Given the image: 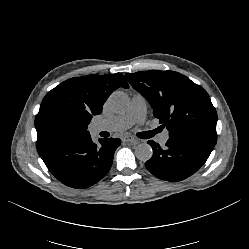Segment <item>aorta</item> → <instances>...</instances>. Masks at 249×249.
I'll return each mask as SVG.
<instances>
[{
	"mask_svg": "<svg viewBox=\"0 0 249 249\" xmlns=\"http://www.w3.org/2000/svg\"><path fill=\"white\" fill-rule=\"evenodd\" d=\"M129 98L122 91L113 92L108 98L107 105L109 109L115 113H122L128 109ZM152 148L148 143H141L135 148V156L140 161H148L152 157Z\"/></svg>",
	"mask_w": 249,
	"mask_h": 249,
	"instance_id": "obj_1",
	"label": "aorta"
}]
</instances>
